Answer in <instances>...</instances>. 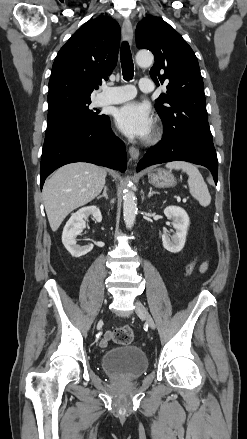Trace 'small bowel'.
<instances>
[{
    "mask_svg": "<svg viewBox=\"0 0 247 439\" xmlns=\"http://www.w3.org/2000/svg\"><path fill=\"white\" fill-rule=\"evenodd\" d=\"M207 268H208V262H204V263L200 266V271H201L202 273H204V272H206ZM111 336H112L111 333H110V332H107V333L104 335V337L100 340L99 345H100L101 347H106L107 344L109 343L110 339H111Z\"/></svg>",
    "mask_w": 247,
    "mask_h": 439,
    "instance_id": "obj_1",
    "label": "small bowel"
}]
</instances>
